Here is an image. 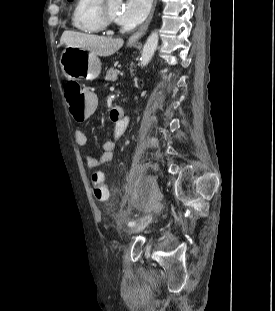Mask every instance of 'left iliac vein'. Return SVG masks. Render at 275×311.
Here are the masks:
<instances>
[{
  "mask_svg": "<svg viewBox=\"0 0 275 311\" xmlns=\"http://www.w3.org/2000/svg\"><path fill=\"white\" fill-rule=\"evenodd\" d=\"M152 219L153 216L151 214L145 215L144 217L140 218L137 225L129 229V233L134 234L142 231L151 223Z\"/></svg>",
  "mask_w": 275,
  "mask_h": 311,
  "instance_id": "left-iliac-vein-1",
  "label": "left iliac vein"
}]
</instances>
